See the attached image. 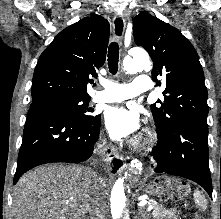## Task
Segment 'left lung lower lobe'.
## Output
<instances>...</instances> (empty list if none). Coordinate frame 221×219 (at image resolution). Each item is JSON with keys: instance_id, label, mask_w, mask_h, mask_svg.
I'll list each match as a JSON object with an SVG mask.
<instances>
[{"instance_id": "0a47b994", "label": "left lung lower lobe", "mask_w": 221, "mask_h": 219, "mask_svg": "<svg viewBox=\"0 0 221 219\" xmlns=\"http://www.w3.org/2000/svg\"><path fill=\"white\" fill-rule=\"evenodd\" d=\"M157 135L159 142L152 152V171L190 179L201 185L212 197L208 127L182 121Z\"/></svg>"}]
</instances>
